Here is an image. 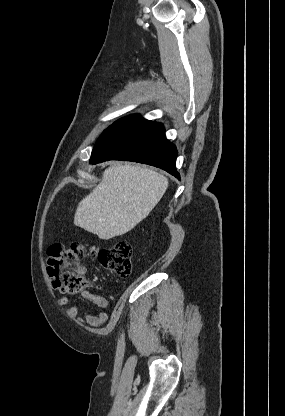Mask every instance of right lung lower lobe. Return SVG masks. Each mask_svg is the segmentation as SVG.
<instances>
[{"mask_svg": "<svg viewBox=\"0 0 285 416\" xmlns=\"http://www.w3.org/2000/svg\"><path fill=\"white\" fill-rule=\"evenodd\" d=\"M177 149L165 137L161 123L142 120L111 136L92 151L90 164L107 160H127L159 167L178 179Z\"/></svg>", "mask_w": 285, "mask_h": 416, "instance_id": "right-lung-lower-lobe-1", "label": "right lung lower lobe"}]
</instances>
